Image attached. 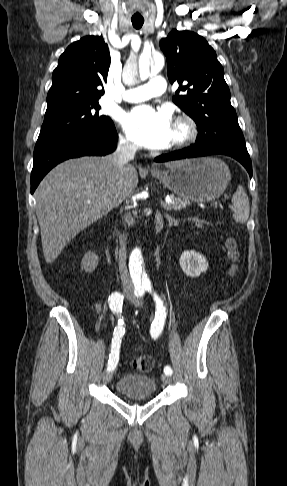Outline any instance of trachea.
<instances>
[{"mask_svg":"<svg viewBox=\"0 0 287 486\" xmlns=\"http://www.w3.org/2000/svg\"><path fill=\"white\" fill-rule=\"evenodd\" d=\"M143 23H144V20H142V19L132 20V24H133L135 29H140L142 27Z\"/></svg>","mask_w":287,"mask_h":486,"instance_id":"obj_1","label":"trachea"}]
</instances>
